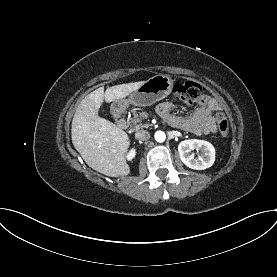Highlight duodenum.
<instances>
[{
    "mask_svg": "<svg viewBox=\"0 0 277 277\" xmlns=\"http://www.w3.org/2000/svg\"><path fill=\"white\" fill-rule=\"evenodd\" d=\"M126 113V110L124 108L121 107H115L113 109V114L116 118V126L118 128H124L126 126V121L124 119V115Z\"/></svg>",
    "mask_w": 277,
    "mask_h": 277,
    "instance_id": "410a0bca",
    "label": "duodenum"
}]
</instances>
